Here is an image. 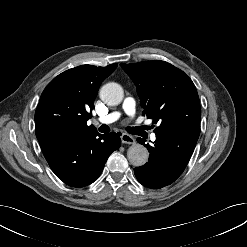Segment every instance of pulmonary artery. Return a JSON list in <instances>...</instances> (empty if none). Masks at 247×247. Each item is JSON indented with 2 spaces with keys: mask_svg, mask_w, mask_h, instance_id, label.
Listing matches in <instances>:
<instances>
[{
  "mask_svg": "<svg viewBox=\"0 0 247 247\" xmlns=\"http://www.w3.org/2000/svg\"><path fill=\"white\" fill-rule=\"evenodd\" d=\"M122 109L127 115H130V116L134 115L135 114V100L131 97L126 98L123 102ZM120 115H121L120 112H112L110 114L100 117L98 121L101 123L109 124V123H112L118 120ZM155 139H156V135L152 133L151 140L154 141Z\"/></svg>",
  "mask_w": 247,
  "mask_h": 247,
  "instance_id": "obj_1",
  "label": "pulmonary artery"
}]
</instances>
